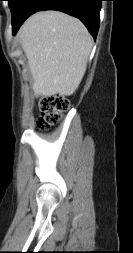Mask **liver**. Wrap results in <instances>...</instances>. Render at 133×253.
<instances>
[{
    "label": "liver",
    "instance_id": "6515ba94",
    "mask_svg": "<svg viewBox=\"0 0 133 253\" xmlns=\"http://www.w3.org/2000/svg\"><path fill=\"white\" fill-rule=\"evenodd\" d=\"M38 96L71 95L79 86L93 41L78 19L57 11L38 12L19 31Z\"/></svg>",
    "mask_w": 133,
    "mask_h": 253
}]
</instances>
